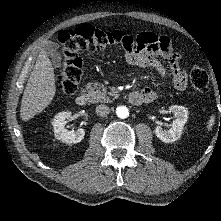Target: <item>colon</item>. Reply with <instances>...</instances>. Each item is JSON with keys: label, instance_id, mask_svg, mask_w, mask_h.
<instances>
[{"label": "colon", "instance_id": "colon-1", "mask_svg": "<svg viewBox=\"0 0 221 221\" xmlns=\"http://www.w3.org/2000/svg\"><path fill=\"white\" fill-rule=\"evenodd\" d=\"M61 53L59 85L65 94H74L82 73V60L79 54L83 51H99L112 45L128 46L132 37L123 31H103L91 25L82 24L74 29L63 30L58 35ZM191 85L198 93H206L209 78L206 71L195 66L190 74Z\"/></svg>", "mask_w": 221, "mask_h": 221}]
</instances>
